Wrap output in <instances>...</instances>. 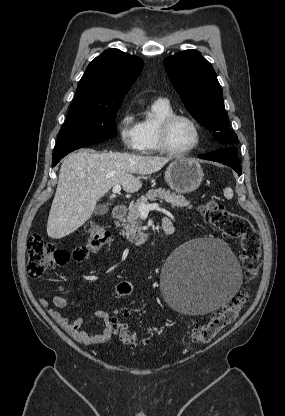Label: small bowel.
I'll return each mask as SVG.
<instances>
[{
    "instance_id": "1",
    "label": "small bowel",
    "mask_w": 285,
    "mask_h": 416,
    "mask_svg": "<svg viewBox=\"0 0 285 416\" xmlns=\"http://www.w3.org/2000/svg\"><path fill=\"white\" fill-rule=\"evenodd\" d=\"M40 302L47 311L48 315L51 317V319L72 339H74L76 342L80 344H103L109 341L114 333L111 322V315L104 310H97L94 312V315L103 322L102 330L96 334H89L82 328L83 318L81 316H77L74 320L70 321L58 310L52 308L46 299H40ZM52 303L54 307L57 309H65L68 305L66 298L60 295L54 296L52 299Z\"/></svg>"
}]
</instances>
